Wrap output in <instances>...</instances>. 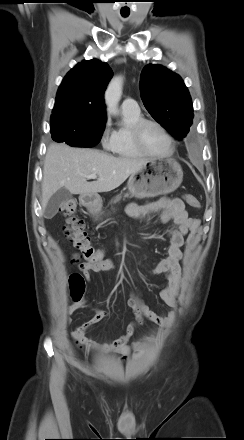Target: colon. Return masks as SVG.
<instances>
[{
  "mask_svg": "<svg viewBox=\"0 0 244 440\" xmlns=\"http://www.w3.org/2000/svg\"><path fill=\"white\" fill-rule=\"evenodd\" d=\"M185 201L187 204L193 208H199L200 202L193 195H186ZM77 208V203L74 199H69L63 202L58 208V214L65 218L64 232L66 236L71 240L76 249H78L79 254L75 257L78 258L82 256L86 262L99 267L102 270H110L114 267L111 260L105 257L103 249H96L91 245V240L87 232L85 231L84 223L82 220L75 217V211ZM200 225V221L197 219L193 220L191 225V238L188 241V247H190L191 239L196 234ZM70 287L72 291V296L75 300L82 298L85 291V283L81 275L73 274L70 278Z\"/></svg>",
  "mask_w": 244,
  "mask_h": 440,
  "instance_id": "colon-1",
  "label": "colon"
}]
</instances>
